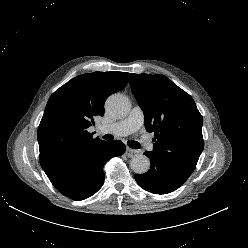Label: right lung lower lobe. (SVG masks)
Listing matches in <instances>:
<instances>
[{"label": "right lung lower lobe", "instance_id": "1", "mask_svg": "<svg viewBox=\"0 0 248 248\" xmlns=\"http://www.w3.org/2000/svg\"><path fill=\"white\" fill-rule=\"evenodd\" d=\"M124 152L125 145L119 140L80 147L47 176L63 195L73 200H84L102 187L105 178L103 166L107 160Z\"/></svg>", "mask_w": 248, "mask_h": 248}]
</instances>
